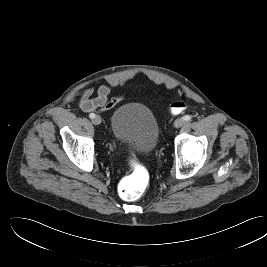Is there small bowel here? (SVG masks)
Instances as JSON below:
<instances>
[{"label":"small bowel","mask_w":267,"mask_h":267,"mask_svg":"<svg viewBox=\"0 0 267 267\" xmlns=\"http://www.w3.org/2000/svg\"><path fill=\"white\" fill-rule=\"evenodd\" d=\"M111 92V86L103 84L98 88L96 96L92 97L94 89L87 87L80 95L79 108L85 113L94 111L107 112L113 109L124 97V95H119L110 98Z\"/></svg>","instance_id":"c3829d8e"}]
</instances>
